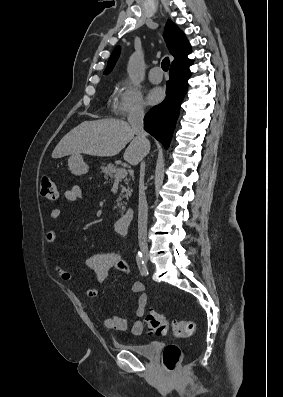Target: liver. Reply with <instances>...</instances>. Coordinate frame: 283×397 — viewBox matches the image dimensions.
<instances>
[{
    "label": "liver",
    "mask_w": 283,
    "mask_h": 397,
    "mask_svg": "<svg viewBox=\"0 0 283 397\" xmlns=\"http://www.w3.org/2000/svg\"><path fill=\"white\" fill-rule=\"evenodd\" d=\"M135 131L123 120L100 119L85 121L68 132L52 152L53 158L67 155L109 157L117 155L125 146L124 160L137 165L147 155L150 145L135 137Z\"/></svg>",
    "instance_id": "1"
}]
</instances>
